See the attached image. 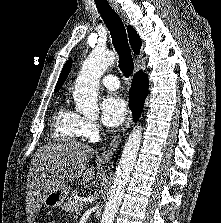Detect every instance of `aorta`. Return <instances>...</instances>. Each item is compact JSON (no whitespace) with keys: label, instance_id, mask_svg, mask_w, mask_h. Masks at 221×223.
<instances>
[{"label":"aorta","instance_id":"1","mask_svg":"<svg viewBox=\"0 0 221 223\" xmlns=\"http://www.w3.org/2000/svg\"><path fill=\"white\" fill-rule=\"evenodd\" d=\"M114 61L115 55L112 51L99 49H94L86 58L77 76L73 95L77 112L89 117L98 115L99 81L103 73ZM141 139L142 127L137 125L129 134L124 145L101 223L114 222L137 159Z\"/></svg>","mask_w":221,"mask_h":223}]
</instances>
